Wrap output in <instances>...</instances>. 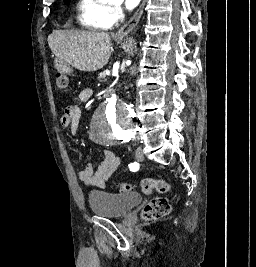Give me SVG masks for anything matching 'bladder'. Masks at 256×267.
I'll list each match as a JSON object with an SVG mask.
<instances>
[{"label":"bladder","mask_w":256,"mask_h":267,"mask_svg":"<svg viewBox=\"0 0 256 267\" xmlns=\"http://www.w3.org/2000/svg\"><path fill=\"white\" fill-rule=\"evenodd\" d=\"M141 195L114 194L107 191H91L89 204L92 212L98 216L121 218L126 216L138 204H142Z\"/></svg>","instance_id":"1"}]
</instances>
